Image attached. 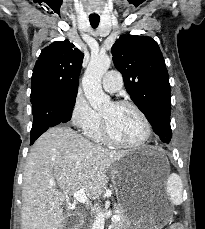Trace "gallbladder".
Segmentation results:
<instances>
[{"label":"gallbladder","instance_id":"bac80fb5","mask_svg":"<svg viewBox=\"0 0 205 229\" xmlns=\"http://www.w3.org/2000/svg\"><path fill=\"white\" fill-rule=\"evenodd\" d=\"M65 216H67V220L65 222V226H69L70 223H72V221H73V217L71 215L68 216V213H66Z\"/></svg>","mask_w":205,"mask_h":229}]
</instances>
